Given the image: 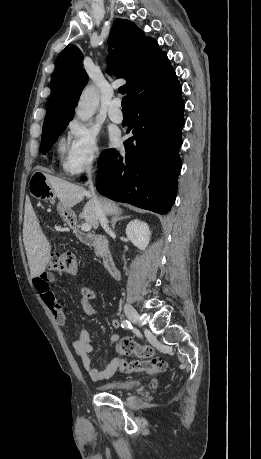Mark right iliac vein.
I'll use <instances>...</instances> for the list:
<instances>
[{"mask_svg":"<svg viewBox=\"0 0 261 459\" xmlns=\"http://www.w3.org/2000/svg\"><path fill=\"white\" fill-rule=\"evenodd\" d=\"M124 312H125V315L127 316V318L131 322H133L134 324H140L139 314L137 313V311L131 305L126 304L124 306Z\"/></svg>","mask_w":261,"mask_h":459,"instance_id":"1","label":"right iliac vein"}]
</instances>
